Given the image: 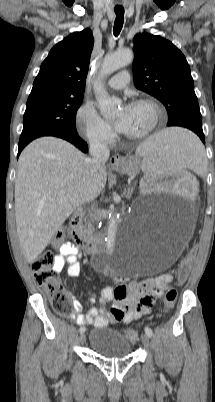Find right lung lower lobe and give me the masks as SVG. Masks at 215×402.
<instances>
[{"mask_svg":"<svg viewBox=\"0 0 215 402\" xmlns=\"http://www.w3.org/2000/svg\"><path fill=\"white\" fill-rule=\"evenodd\" d=\"M56 137L62 138L64 140H67L69 142H71L73 145H75L77 148H79L81 151L83 152H87L88 151V146L86 144L85 141H83L77 134V132L75 133H63V134H59L56 135ZM26 145L20 146L19 145V149H18V156L20 154V152L23 150V148Z\"/></svg>","mask_w":215,"mask_h":402,"instance_id":"right-lung-lower-lobe-1","label":"right lung lower lobe"}]
</instances>
